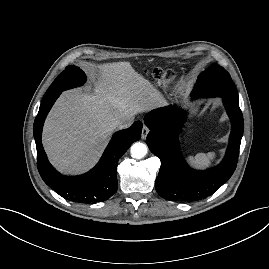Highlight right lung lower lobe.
Returning <instances> with one entry per match:
<instances>
[{
    "label": "right lung lower lobe",
    "instance_id": "right-lung-lower-lobe-1",
    "mask_svg": "<svg viewBox=\"0 0 269 269\" xmlns=\"http://www.w3.org/2000/svg\"><path fill=\"white\" fill-rule=\"evenodd\" d=\"M60 93L42 100L36 116L33 132L37 149V166L43 181L63 198L78 202H102L117 191L116 166L131 144L141 138L142 123L136 121L130 128L114 134L98 164L88 173L66 177L49 163L41 142L45 118Z\"/></svg>",
    "mask_w": 269,
    "mask_h": 269
}]
</instances>
